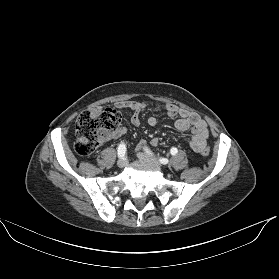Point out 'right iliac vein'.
Wrapping results in <instances>:
<instances>
[{
  "mask_svg": "<svg viewBox=\"0 0 279 279\" xmlns=\"http://www.w3.org/2000/svg\"><path fill=\"white\" fill-rule=\"evenodd\" d=\"M117 165L119 168H124L127 165V160L125 158H121L118 160Z\"/></svg>",
  "mask_w": 279,
  "mask_h": 279,
  "instance_id": "obj_1",
  "label": "right iliac vein"
}]
</instances>
